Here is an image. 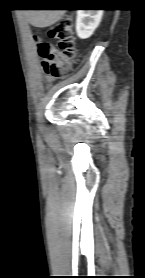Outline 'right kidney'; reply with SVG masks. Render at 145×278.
Returning <instances> with one entry per match:
<instances>
[{
  "label": "right kidney",
  "mask_w": 145,
  "mask_h": 278,
  "mask_svg": "<svg viewBox=\"0 0 145 278\" xmlns=\"http://www.w3.org/2000/svg\"><path fill=\"white\" fill-rule=\"evenodd\" d=\"M103 10H77L76 32L81 39L89 38L98 27Z\"/></svg>",
  "instance_id": "1"
}]
</instances>
